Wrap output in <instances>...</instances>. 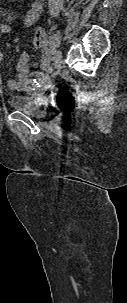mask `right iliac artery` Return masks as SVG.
<instances>
[{
  "label": "right iliac artery",
  "instance_id": "obj_1",
  "mask_svg": "<svg viewBox=\"0 0 127 303\" xmlns=\"http://www.w3.org/2000/svg\"><path fill=\"white\" fill-rule=\"evenodd\" d=\"M49 50H50V52H51L52 55H54V54L56 53V48H55V46H50V47H49Z\"/></svg>",
  "mask_w": 127,
  "mask_h": 303
}]
</instances>
